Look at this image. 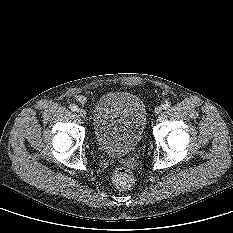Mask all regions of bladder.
<instances>
[{"label":"bladder","mask_w":233,"mask_h":233,"mask_svg":"<svg viewBox=\"0 0 233 233\" xmlns=\"http://www.w3.org/2000/svg\"><path fill=\"white\" fill-rule=\"evenodd\" d=\"M147 120L143 101L129 92H110L101 96L93 109V132L106 154L122 157L141 140Z\"/></svg>","instance_id":"1"}]
</instances>
